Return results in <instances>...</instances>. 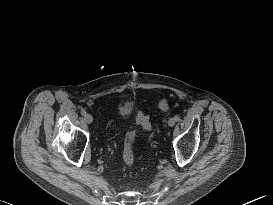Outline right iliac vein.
<instances>
[{"label": "right iliac vein", "mask_w": 273, "mask_h": 205, "mask_svg": "<svg viewBox=\"0 0 273 205\" xmlns=\"http://www.w3.org/2000/svg\"><path fill=\"white\" fill-rule=\"evenodd\" d=\"M84 119L87 124H91L93 122V117L89 113L85 114Z\"/></svg>", "instance_id": "obj_1"}]
</instances>
